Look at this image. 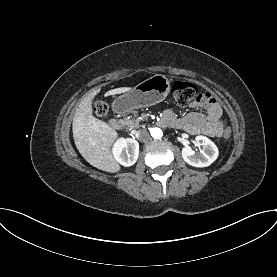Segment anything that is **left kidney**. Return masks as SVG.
I'll use <instances>...</instances> for the list:
<instances>
[{"label": "left kidney", "mask_w": 277, "mask_h": 277, "mask_svg": "<svg viewBox=\"0 0 277 277\" xmlns=\"http://www.w3.org/2000/svg\"><path fill=\"white\" fill-rule=\"evenodd\" d=\"M196 143L203 149L200 153H195L189 146L182 148V157L186 163L194 167H207L218 157L217 146L205 136H197Z\"/></svg>", "instance_id": "1"}]
</instances>
